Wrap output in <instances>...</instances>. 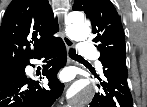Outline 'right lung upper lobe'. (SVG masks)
I'll return each mask as SVG.
<instances>
[{
    "mask_svg": "<svg viewBox=\"0 0 147 107\" xmlns=\"http://www.w3.org/2000/svg\"><path fill=\"white\" fill-rule=\"evenodd\" d=\"M58 30L48 0H12L0 28V69L26 66Z\"/></svg>",
    "mask_w": 147,
    "mask_h": 107,
    "instance_id": "cb5924a9",
    "label": "right lung upper lobe"
}]
</instances>
